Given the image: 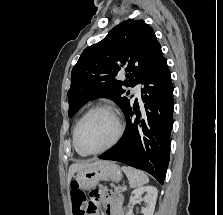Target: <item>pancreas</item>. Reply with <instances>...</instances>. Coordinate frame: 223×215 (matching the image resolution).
Wrapping results in <instances>:
<instances>
[{"instance_id": "pancreas-1", "label": "pancreas", "mask_w": 223, "mask_h": 215, "mask_svg": "<svg viewBox=\"0 0 223 215\" xmlns=\"http://www.w3.org/2000/svg\"><path fill=\"white\" fill-rule=\"evenodd\" d=\"M110 185L114 187V191H125V189H123L121 185H114V183H110Z\"/></svg>"}]
</instances>
